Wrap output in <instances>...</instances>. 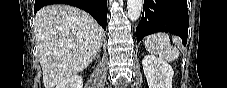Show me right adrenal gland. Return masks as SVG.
<instances>
[{
    "label": "right adrenal gland",
    "mask_w": 227,
    "mask_h": 88,
    "mask_svg": "<svg viewBox=\"0 0 227 88\" xmlns=\"http://www.w3.org/2000/svg\"><path fill=\"white\" fill-rule=\"evenodd\" d=\"M99 58H100V53L98 51L97 54L95 55L94 59H99Z\"/></svg>",
    "instance_id": "2a0ac1e0"
}]
</instances>
